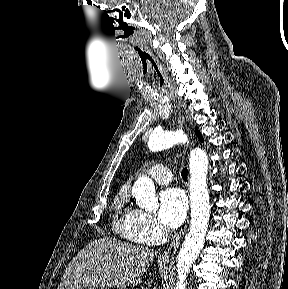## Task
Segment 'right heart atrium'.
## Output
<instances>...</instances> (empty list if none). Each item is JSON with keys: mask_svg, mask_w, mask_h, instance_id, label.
<instances>
[{"mask_svg": "<svg viewBox=\"0 0 288 289\" xmlns=\"http://www.w3.org/2000/svg\"><path fill=\"white\" fill-rule=\"evenodd\" d=\"M129 226L141 243L161 242L166 234L165 228L151 214L141 210H135Z\"/></svg>", "mask_w": 288, "mask_h": 289, "instance_id": "right-heart-atrium-1", "label": "right heart atrium"}]
</instances>
